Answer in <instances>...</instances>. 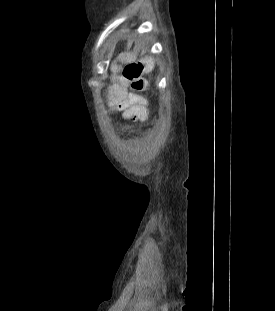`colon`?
<instances>
[{
  "instance_id": "colon-1",
  "label": "colon",
  "mask_w": 275,
  "mask_h": 311,
  "mask_svg": "<svg viewBox=\"0 0 275 311\" xmlns=\"http://www.w3.org/2000/svg\"><path fill=\"white\" fill-rule=\"evenodd\" d=\"M150 69V63L143 58L126 67L125 75L131 81L132 86L137 91H142L147 86L145 73Z\"/></svg>"
}]
</instances>
